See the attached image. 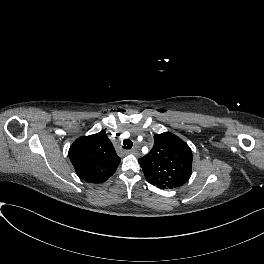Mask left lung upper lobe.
<instances>
[{"label": "left lung upper lobe", "instance_id": "1", "mask_svg": "<svg viewBox=\"0 0 264 264\" xmlns=\"http://www.w3.org/2000/svg\"><path fill=\"white\" fill-rule=\"evenodd\" d=\"M190 147L176 135L155 134L152 150L139 159L147 181L158 188L175 189L186 183L192 173Z\"/></svg>", "mask_w": 264, "mask_h": 264}]
</instances>
